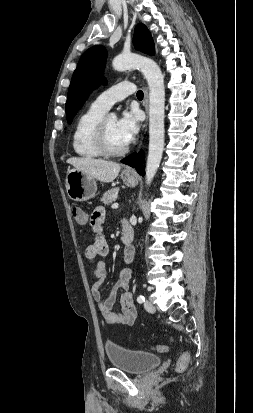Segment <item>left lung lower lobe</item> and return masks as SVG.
Returning a JSON list of instances; mask_svg holds the SVG:
<instances>
[{"label": "left lung lower lobe", "instance_id": "left-lung-lower-lobe-1", "mask_svg": "<svg viewBox=\"0 0 253 413\" xmlns=\"http://www.w3.org/2000/svg\"><path fill=\"white\" fill-rule=\"evenodd\" d=\"M122 163L127 164L131 167L136 168L137 172L140 175H144V170L142 167V163H144V154L140 153L139 155L137 153H133L126 158L121 160Z\"/></svg>", "mask_w": 253, "mask_h": 413}]
</instances>
